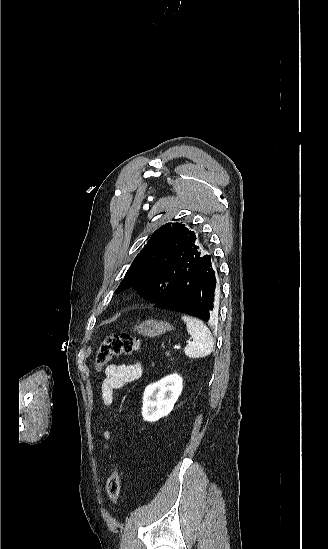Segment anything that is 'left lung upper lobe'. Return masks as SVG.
I'll list each match as a JSON object with an SVG mask.
<instances>
[{"instance_id": "1", "label": "left lung upper lobe", "mask_w": 328, "mask_h": 549, "mask_svg": "<svg viewBox=\"0 0 328 549\" xmlns=\"http://www.w3.org/2000/svg\"><path fill=\"white\" fill-rule=\"evenodd\" d=\"M195 241L194 231L181 223L162 225L134 259L116 292L133 286L152 303L170 296L203 254Z\"/></svg>"}]
</instances>
